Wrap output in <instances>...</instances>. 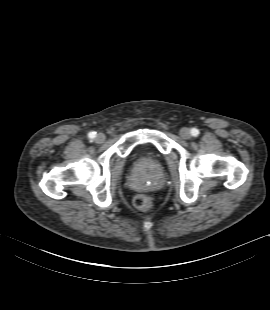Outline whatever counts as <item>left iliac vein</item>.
Listing matches in <instances>:
<instances>
[{"label":"left iliac vein","mask_w":270,"mask_h":310,"mask_svg":"<svg viewBox=\"0 0 270 310\" xmlns=\"http://www.w3.org/2000/svg\"><path fill=\"white\" fill-rule=\"evenodd\" d=\"M179 134H180L181 138H183V139H185V140L190 139V137H191V132H190V130H189L188 128H186V127L182 128V129L180 130Z\"/></svg>","instance_id":"obj_1"}]
</instances>
